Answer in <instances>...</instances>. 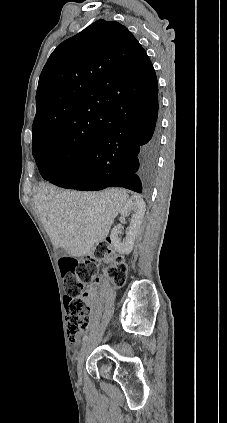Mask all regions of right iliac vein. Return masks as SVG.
Wrapping results in <instances>:
<instances>
[{"label":"right iliac vein","instance_id":"1","mask_svg":"<svg viewBox=\"0 0 227 423\" xmlns=\"http://www.w3.org/2000/svg\"><path fill=\"white\" fill-rule=\"evenodd\" d=\"M89 347H90V342L86 343L83 346V348H82V350L80 352V355H79L78 361H77V371H78V374H81V372H82L84 360H85L86 355L88 354Z\"/></svg>","mask_w":227,"mask_h":423}]
</instances>
